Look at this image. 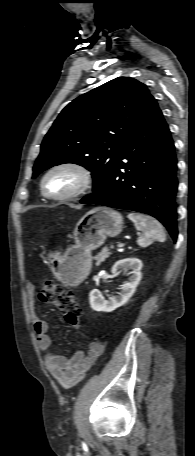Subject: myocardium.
Returning a JSON list of instances; mask_svg holds the SVG:
<instances>
[{
    "label": "myocardium",
    "mask_w": 195,
    "mask_h": 456,
    "mask_svg": "<svg viewBox=\"0 0 195 456\" xmlns=\"http://www.w3.org/2000/svg\"><path fill=\"white\" fill-rule=\"evenodd\" d=\"M61 169H69V170L75 171L80 177L79 184L74 190H72L71 192H69L67 194L52 195V194L48 193L46 190V186H45L46 179L48 178V176L50 174H52L53 172H55L57 170H61ZM92 180L93 179H92L91 171L86 166H84L80 163H76V162H62V163H58V164L52 166L45 172V174L43 175V177L41 179L40 187H41L42 194L46 198H48L50 200H54V201H67V200H71V199L77 198V197L85 194L88 191V189L90 188V186L92 184Z\"/></svg>",
    "instance_id": "1"
}]
</instances>
